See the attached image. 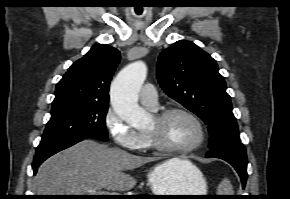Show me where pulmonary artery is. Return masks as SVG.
I'll use <instances>...</instances> for the list:
<instances>
[{
	"label": "pulmonary artery",
	"instance_id": "obj_1",
	"mask_svg": "<svg viewBox=\"0 0 290 199\" xmlns=\"http://www.w3.org/2000/svg\"><path fill=\"white\" fill-rule=\"evenodd\" d=\"M139 99L144 106L155 110L158 105L156 88L152 84H145L139 92Z\"/></svg>",
	"mask_w": 290,
	"mask_h": 199
}]
</instances>
